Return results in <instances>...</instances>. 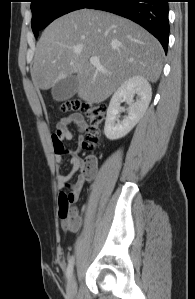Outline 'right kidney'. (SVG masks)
Returning <instances> with one entry per match:
<instances>
[{"label":"right kidney","instance_id":"obj_1","mask_svg":"<svg viewBox=\"0 0 195 299\" xmlns=\"http://www.w3.org/2000/svg\"><path fill=\"white\" fill-rule=\"evenodd\" d=\"M136 100H134V96ZM152 97L151 85L142 76H133L126 80L113 94L104 126L105 136L117 140L127 135L146 112ZM129 105L128 115L119 121L121 103Z\"/></svg>","mask_w":195,"mask_h":299}]
</instances>
